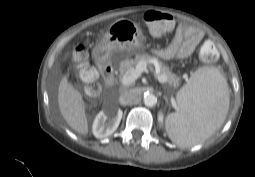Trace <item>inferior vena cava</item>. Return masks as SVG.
<instances>
[{
	"mask_svg": "<svg viewBox=\"0 0 255 177\" xmlns=\"http://www.w3.org/2000/svg\"><path fill=\"white\" fill-rule=\"evenodd\" d=\"M138 96L139 94L136 90H127L120 95L119 101L123 105H129L132 104L138 98Z\"/></svg>",
	"mask_w": 255,
	"mask_h": 177,
	"instance_id": "inferior-vena-cava-1",
	"label": "inferior vena cava"
}]
</instances>
